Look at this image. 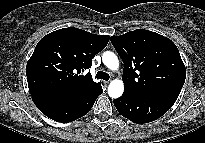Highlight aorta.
I'll return each instance as SVG.
<instances>
[{
  "label": "aorta",
  "instance_id": "aorta-1",
  "mask_svg": "<svg viewBox=\"0 0 205 143\" xmlns=\"http://www.w3.org/2000/svg\"><path fill=\"white\" fill-rule=\"evenodd\" d=\"M102 61L104 65L112 70L115 71L119 67V60L115 53L111 51H105L102 55ZM124 91L123 82L119 79L112 80L108 86V95L112 99L119 98Z\"/></svg>",
  "mask_w": 205,
  "mask_h": 143
}]
</instances>
